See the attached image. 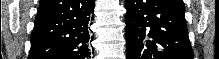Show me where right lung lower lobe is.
Wrapping results in <instances>:
<instances>
[{
    "mask_svg": "<svg viewBox=\"0 0 219 59\" xmlns=\"http://www.w3.org/2000/svg\"><path fill=\"white\" fill-rule=\"evenodd\" d=\"M95 0H42L28 59H85L93 40Z\"/></svg>",
    "mask_w": 219,
    "mask_h": 59,
    "instance_id": "obj_1",
    "label": "right lung lower lobe"
}]
</instances>
